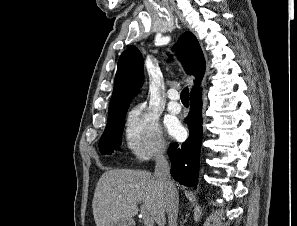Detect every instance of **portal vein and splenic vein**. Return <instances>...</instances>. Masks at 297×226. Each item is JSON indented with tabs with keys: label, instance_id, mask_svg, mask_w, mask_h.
Instances as JSON below:
<instances>
[{
	"label": "portal vein and splenic vein",
	"instance_id": "1",
	"mask_svg": "<svg viewBox=\"0 0 297 226\" xmlns=\"http://www.w3.org/2000/svg\"><path fill=\"white\" fill-rule=\"evenodd\" d=\"M141 213H142V216H143V221H144V224L146 226H152L153 223H154V220L152 217H150V215L147 213V210L146 208L142 205L141 206Z\"/></svg>",
	"mask_w": 297,
	"mask_h": 226
}]
</instances>
